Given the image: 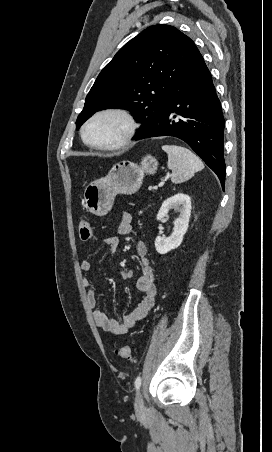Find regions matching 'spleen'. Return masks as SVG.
<instances>
[{
  "label": "spleen",
  "mask_w": 272,
  "mask_h": 452,
  "mask_svg": "<svg viewBox=\"0 0 272 452\" xmlns=\"http://www.w3.org/2000/svg\"><path fill=\"white\" fill-rule=\"evenodd\" d=\"M162 150L168 155V168L172 170L171 181L174 184L189 180L204 168L201 159L185 147L163 145Z\"/></svg>",
  "instance_id": "3e777b00"
}]
</instances>
